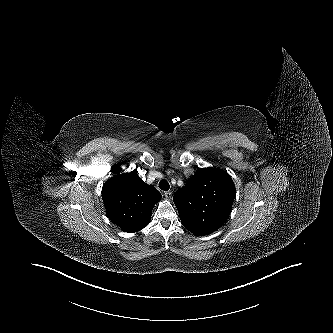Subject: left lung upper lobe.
Here are the masks:
<instances>
[{"instance_id":"5c2ea615","label":"left lung upper lobe","mask_w":333,"mask_h":333,"mask_svg":"<svg viewBox=\"0 0 333 333\" xmlns=\"http://www.w3.org/2000/svg\"><path fill=\"white\" fill-rule=\"evenodd\" d=\"M236 195L230 175L221 169L198 168L173 201L181 223L195 235L217 230L229 216Z\"/></svg>"}]
</instances>
